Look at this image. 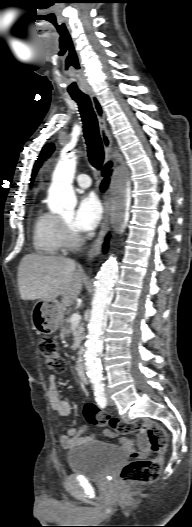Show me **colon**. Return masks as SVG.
Instances as JSON below:
<instances>
[{"instance_id":"5ec220e1","label":"colon","mask_w":192,"mask_h":527,"mask_svg":"<svg viewBox=\"0 0 192 527\" xmlns=\"http://www.w3.org/2000/svg\"><path fill=\"white\" fill-rule=\"evenodd\" d=\"M37 346L49 369L58 373L65 370V361L58 346L51 338L40 337L37 341ZM84 416L88 423L110 428L120 434L128 433L131 430L145 431L151 449L158 455L153 459L137 458L134 461H130L121 471V480L125 483L133 484L152 483L158 479L163 464L162 456L167 448V434L161 425L147 420L125 423L110 416L93 403L86 404Z\"/></svg>"}]
</instances>
